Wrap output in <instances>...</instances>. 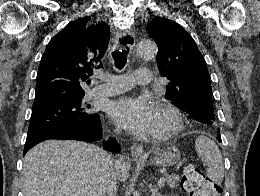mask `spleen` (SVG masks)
Instances as JSON below:
<instances>
[{"label":"spleen","mask_w":260,"mask_h":196,"mask_svg":"<svg viewBox=\"0 0 260 196\" xmlns=\"http://www.w3.org/2000/svg\"><path fill=\"white\" fill-rule=\"evenodd\" d=\"M195 150L205 162L206 174L213 184H221L224 178V166L222 160V154L215 142L207 136H198L195 140Z\"/></svg>","instance_id":"3e777b00"}]
</instances>
